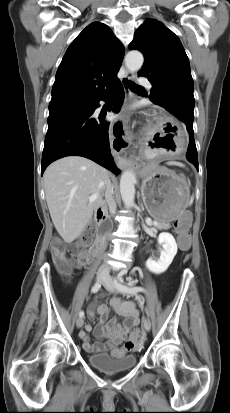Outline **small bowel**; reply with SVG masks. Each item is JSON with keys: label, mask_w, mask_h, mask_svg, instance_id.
Wrapping results in <instances>:
<instances>
[{"label": "small bowel", "mask_w": 230, "mask_h": 413, "mask_svg": "<svg viewBox=\"0 0 230 413\" xmlns=\"http://www.w3.org/2000/svg\"><path fill=\"white\" fill-rule=\"evenodd\" d=\"M111 308L120 316L125 318L119 324L115 318L108 320L110 307L106 304L93 302L88 309V316L93 319L96 314L100 316L97 326L93 329L96 342H91L88 333L92 330L91 324L85 326L79 336L83 341V348L90 353L109 352L114 357L130 354L126 348V335L130 330L138 325L139 313L131 301H124L119 297H114L110 301Z\"/></svg>", "instance_id": "c3829d8e"}]
</instances>
